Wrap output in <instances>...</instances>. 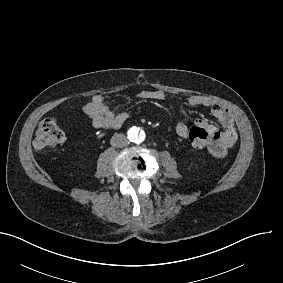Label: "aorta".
Returning <instances> with one entry per match:
<instances>
[{"label": "aorta", "instance_id": "obj_1", "mask_svg": "<svg viewBox=\"0 0 283 283\" xmlns=\"http://www.w3.org/2000/svg\"><path fill=\"white\" fill-rule=\"evenodd\" d=\"M128 138L131 142L142 143L146 138V134L140 127L133 126L128 130Z\"/></svg>", "mask_w": 283, "mask_h": 283}]
</instances>
